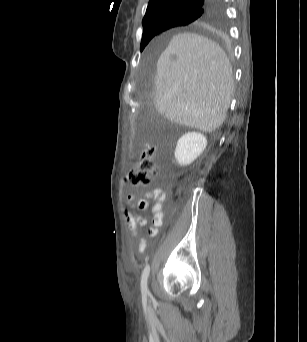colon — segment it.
<instances>
[{
    "label": "colon",
    "instance_id": "colon-1",
    "mask_svg": "<svg viewBox=\"0 0 307 342\" xmlns=\"http://www.w3.org/2000/svg\"><path fill=\"white\" fill-rule=\"evenodd\" d=\"M140 159L127 176V183L133 186L150 184L157 174L155 163L156 145L146 143L140 150Z\"/></svg>",
    "mask_w": 307,
    "mask_h": 342
}]
</instances>
